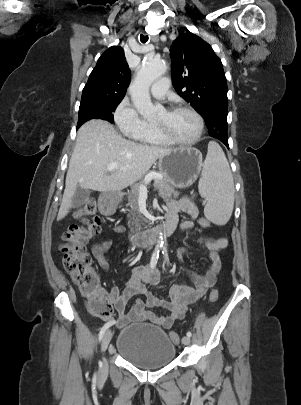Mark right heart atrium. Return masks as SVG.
I'll list each match as a JSON object with an SVG mask.
<instances>
[{"label":"right heart atrium","instance_id":"1","mask_svg":"<svg viewBox=\"0 0 301 405\" xmlns=\"http://www.w3.org/2000/svg\"><path fill=\"white\" fill-rule=\"evenodd\" d=\"M113 116L119 129L129 136L137 133L145 125V121L140 117L137 109L128 98H124L118 104Z\"/></svg>","mask_w":301,"mask_h":405}]
</instances>
